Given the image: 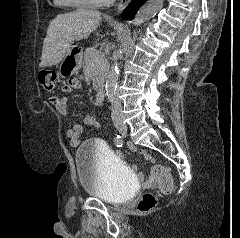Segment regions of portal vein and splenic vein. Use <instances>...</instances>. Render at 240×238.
Wrapping results in <instances>:
<instances>
[{"label": "portal vein and splenic vein", "instance_id": "portal-vein-and-splenic-vein-1", "mask_svg": "<svg viewBox=\"0 0 240 238\" xmlns=\"http://www.w3.org/2000/svg\"><path fill=\"white\" fill-rule=\"evenodd\" d=\"M96 62L100 63V62H101V60L98 58V59H96Z\"/></svg>", "mask_w": 240, "mask_h": 238}]
</instances>
